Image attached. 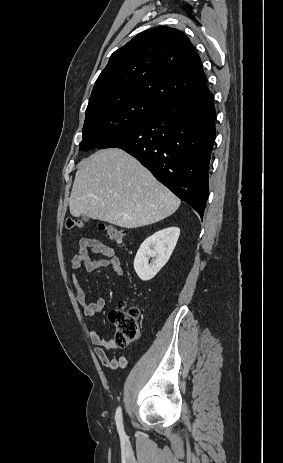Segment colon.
<instances>
[{
	"label": "colon",
	"mask_w": 283,
	"mask_h": 463,
	"mask_svg": "<svg viewBox=\"0 0 283 463\" xmlns=\"http://www.w3.org/2000/svg\"><path fill=\"white\" fill-rule=\"evenodd\" d=\"M66 227L68 229L81 228L82 221L79 219H68ZM98 228L117 244L122 243L125 239V232L115 226L99 223ZM139 316L140 311L137 307H127L126 305L110 313V319L116 330L115 343L117 346L124 347L138 340L140 336Z\"/></svg>",
	"instance_id": "colon-1"
}]
</instances>
